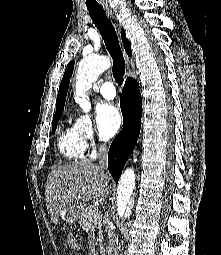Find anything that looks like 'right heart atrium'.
<instances>
[{
  "label": "right heart atrium",
  "instance_id": "right-heart-atrium-1",
  "mask_svg": "<svg viewBox=\"0 0 221 255\" xmlns=\"http://www.w3.org/2000/svg\"><path fill=\"white\" fill-rule=\"evenodd\" d=\"M75 125L85 145L92 146L96 139H102L90 115L79 114L75 119Z\"/></svg>",
  "mask_w": 221,
  "mask_h": 255
}]
</instances>
